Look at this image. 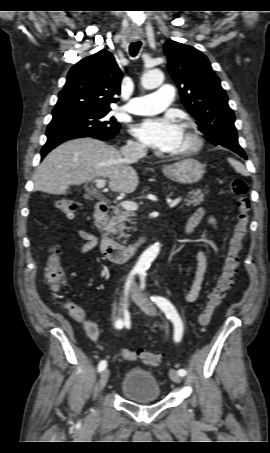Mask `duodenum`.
I'll use <instances>...</instances> for the list:
<instances>
[{
    "label": "duodenum",
    "instance_id": "duodenum-1",
    "mask_svg": "<svg viewBox=\"0 0 270 453\" xmlns=\"http://www.w3.org/2000/svg\"><path fill=\"white\" fill-rule=\"evenodd\" d=\"M108 212L109 205L107 203H98L95 207V219L102 228ZM143 242L144 240H141L130 245H123L114 241L104 232L100 240V250L108 260L116 263H125L132 258Z\"/></svg>",
    "mask_w": 270,
    "mask_h": 453
}]
</instances>
